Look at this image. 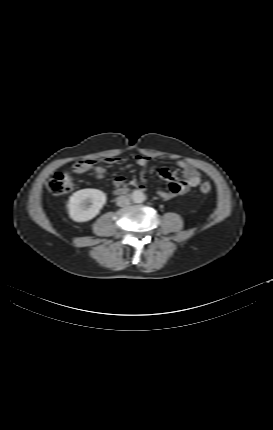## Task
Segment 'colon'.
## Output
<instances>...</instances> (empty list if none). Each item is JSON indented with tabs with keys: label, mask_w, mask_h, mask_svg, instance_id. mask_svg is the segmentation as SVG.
Instances as JSON below:
<instances>
[{
	"label": "colon",
	"mask_w": 273,
	"mask_h": 430,
	"mask_svg": "<svg viewBox=\"0 0 273 430\" xmlns=\"http://www.w3.org/2000/svg\"><path fill=\"white\" fill-rule=\"evenodd\" d=\"M73 179L66 172H56L47 183L48 190L57 196L69 193L73 189ZM199 190L202 194H207L212 190L210 182H203Z\"/></svg>",
	"instance_id": "1"
}]
</instances>
